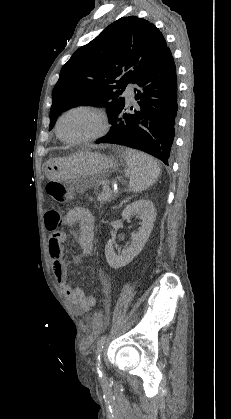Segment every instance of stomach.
<instances>
[{"mask_svg": "<svg viewBox=\"0 0 231 419\" xmlns=\"http://www.w3.org/2000/svg\"><path fill=\"white\" fill-rule=\"evenodd\" d=\"M118 161L99 152L81 151L46 163L45 174L51 181H69L78 191L98 184L116 170Z\"/></svg>", "mask_w": 231, "mask_h": 419, "instance_id": "1", "label": "stomach"}]
</instances>
